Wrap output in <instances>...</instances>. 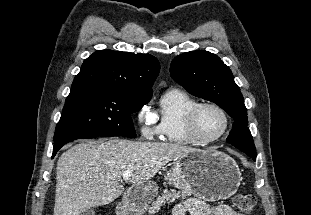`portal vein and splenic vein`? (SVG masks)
<instances>
[{"label":"portal vein and splenic vein","mask_w":311,"mask_h":215,"mask_svg":"<svg viewBox=\"0 0 311 215\" xmlns=\"http://www.w3.org/2000/svg\"><path fill=\"white\" fill-rule=\"evenodd\" d=\"M131 175H132V172H130V171H125V172L122 174L123 179H124L125 181H128V180L130 179Z\"/></svg>","instance_id":"portal-vein-and-splenic-vein-1"}]
</instances>
